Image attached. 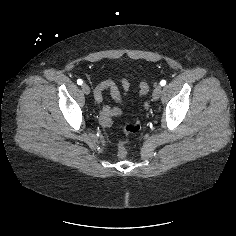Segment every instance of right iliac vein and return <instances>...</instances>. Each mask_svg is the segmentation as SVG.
<instances>
[{"label": "right iliac vein", "instance_id": "obj_1", "mask_svg": "<svg viewBox=\"0 0 236 236\" xmlns=\"http://www.w3.org/2000/svg\"><path fill=\"white\" fill-rule=\"evenodd\" d=\"M81 89L86 95H88L90 93V87L85 83L82 84Z\"/></svg>", "mask_w": 236, "mask_h": 236}]
</instances>
